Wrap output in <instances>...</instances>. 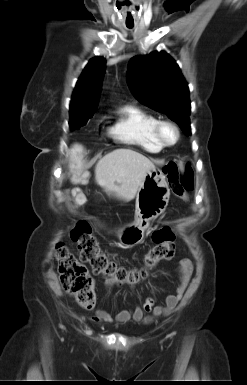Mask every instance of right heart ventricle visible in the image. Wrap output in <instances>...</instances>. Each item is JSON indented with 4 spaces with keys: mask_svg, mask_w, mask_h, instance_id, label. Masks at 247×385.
Here are the masks:
<instances>
[{
    "mask_svg": "<svg viewBox=\"0 0 247 385\" xmlns=\"http://www.w3.org/2000/svg\"><path fill=\"white\" fill-rule=\"evenodd\" d=\"M158 118L150 112L134 106L125 105L117 112V119L109 133L117 140L137 146L149 153H158L162 146L153 135Z\"/></svg>",
    "mask_w": 247,
    "mask_h": 385,
    "instance_id": "1",
    "label": "right heart ventricle"
}]
</instances>
